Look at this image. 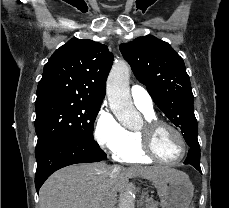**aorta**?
<instances>
[{
    "label": "aorta",
    "mask_w": 229,
    "mask_h": 208,
    "mask_svg": "<svg viewBox=\"0 0 229 208\" xmlns=\"http://www.w3.org/2000/svg\"><path fill=\"white\" fill-rule=\"evenodd\" d=\"M130 67L125 62L113 65L107 80V97L109 106L119 122L129 129L136 128L141 123V115L133 105L130 89ZM135 195L132 190H126L119 203V208H134Z\"/></svg>",
    "instance_id": "obj_1"
}]
</instances>
